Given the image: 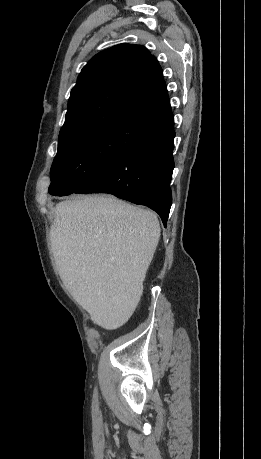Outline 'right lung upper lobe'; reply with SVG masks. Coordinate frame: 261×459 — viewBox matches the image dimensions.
<instances>
[{"label": "right lung upper lobe", "mask_w": 261, "mask_h": 459, "mask_svg": "<svg viewBox=\"0 0 261 459\" xmlns=\"http://www.w3.org/2000/svg\"><path fill=\"white\" fill-rule=\"evenodd\" d=\"M171 114L157 59L144 46L119 44L98 53L82 69L59 139L120 121L152 126Z\"/></svg>", "instance_id": "right-lung-upper-lobe-1"}]
</instances>
